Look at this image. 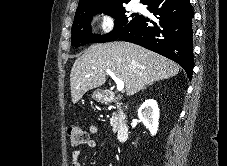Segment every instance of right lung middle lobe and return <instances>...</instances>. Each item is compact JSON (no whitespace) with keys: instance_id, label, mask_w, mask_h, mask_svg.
Instances as JSON below:
<instances>
[{"instance_id":"right-lung-middle-lobe-1","label":"right lung middle lobe","mask_w":227,"mask_h":166,"mask_svg":"<svg viewBox=\"0 0 227 166\" xmlns=\"http://www.w3.org/2000/svg\"><path fill=\"white\" fill-rule=\"evenodd\" d=\"M115 18V26L112 32L106 35L91 34L90 22L99 11ZM131 16H134L133 14ZM126 14L124 6H117L105 9H94L83 12H76L72 25L71 44L80 47L88 43H104L116 40L124 31L136 24L141 18L140 15L131 17Z\"/></svg>"}]
</instances>
